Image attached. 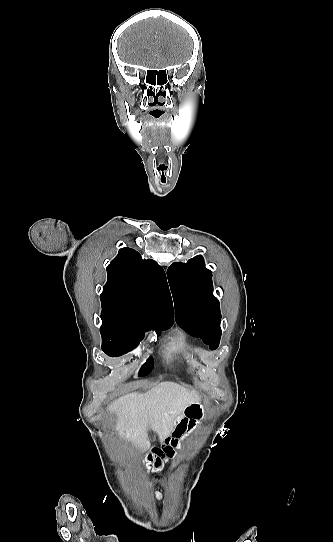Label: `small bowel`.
I'll return each instance as SVG.
<instances>
[{
  "mask_svg": "<svg viewBox=\"0 0 333 542\" xmlns=\"http://www.w3.org/2000/svg\"><path fill=\"white\" fill-rule=\"evenodd\" d=\"M203 415V409L199 405H191L187 407L183 414L174 422L171 435L167 441L169 449L182 448L194 435L197 426V420ZM161 463L157 460H152L151 468L154 472L160 470ZM157 479L156 483L159 484Z\"/></svg>",
  "mask_w": 333,
  "mask_h": 542,
  "instance_id": "obj_1",
  "label": "small bowel"
}]
</instances>
